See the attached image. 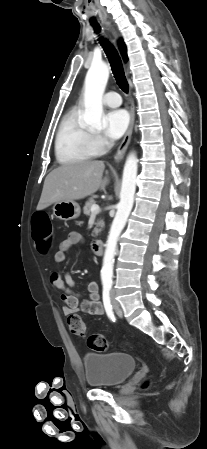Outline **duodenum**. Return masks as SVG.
Listing matches in <instances>:
<instances>
[{"label":"duodenum","mask_w":207,"mask_h":449,"mask_svg":"<svg viewBox=\"0 0 207 449\" xmlns=\"http://www.w3.org/2000/svg\"><path fill=\"white\" fill-rule=\"evenodd\" d=\"M104 243L101 239H94L91 242V248L93 252L97 255H101L103 253Z\"/></svg>","instance_id":"1"}]
</instances>
